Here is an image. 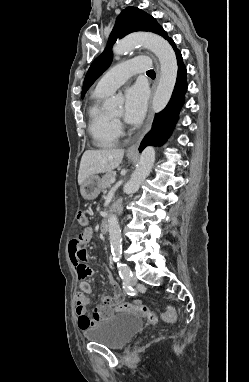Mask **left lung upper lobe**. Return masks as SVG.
I'll return each mask as SVG.
<instances>
[{
	"mask_svg": "<svg viewBox=\"0 0 249 382\" xmlns=\"http://www.w3.org/2000/svg\"><path fill=\"white\" fill-rule=\"evenodd\" d=\"M137 31H150L161 35L165 39H169L167 33L151 15L136 7L125 8L117 17L115 26L109 36L107 47L93 61L86 74L82 89V98L95 80L110 66L113 59L111 48L117 38H122Z\"/></svg>",
	"mask_w": 249,
	"mask_h": 382,
	"instance_id": "obj_1",
	"label": "left lung upper lobe"
}]
</instances>
